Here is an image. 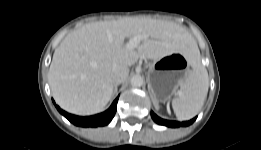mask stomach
Masks as SVG:
<instances>
[{
  "instance_id": "1",
  "label": "stomach",
  "mask_w": 261,
  "mask_h": 150,
  "mask_svg": "<svg viewBox=\"0 0 261 150\" xmlns=\"http://www.w3.org/2000/svg\"><path fill=\"white\" fill-rule=\"evenodd\" d=\"M190 60L175 52L154 60L148 70V89L152 99L162 102L170 98L189 74Z\"/></svg>"
}]
</instances>
